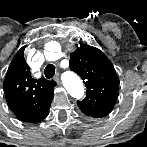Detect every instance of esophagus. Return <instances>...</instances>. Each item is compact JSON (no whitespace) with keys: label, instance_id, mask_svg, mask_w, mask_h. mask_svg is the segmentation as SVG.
Listing matches in <instances>:
<instances>
[{"label":"esophagus","instance_id":"obj_1","mask_svg":"<svg viewBox=\"0 0 147 147\" xmlns=\"http://www.w3.org/2000/svg\"><path fill=\"white\" fill-rule=\"evenodd\" d=\"M55 81L58 83V84H60V78H59V74H57L56 76H55Z\"/></svg>","mask_w":147,"mask_h":147}]
</instances>
